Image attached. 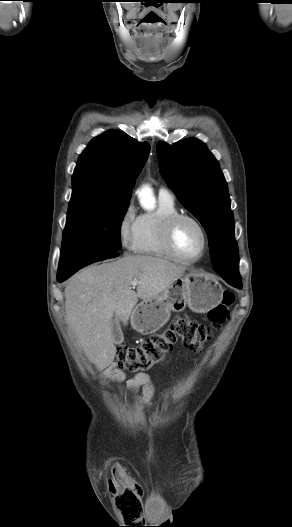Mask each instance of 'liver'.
<instances>
[{"instance_id": "1", "label": "liver", "mask_w": 292, "mask_h": 527, "mask_svg": "<svg viewBox=\"0 0 292 527\" xmlns=\"http://www.w3.org/2000/svg\"><path fill=\"white\" fill-rule=\"evenodd\" d=\"M186 268L168 260L126 255L92 265L71 277L65 287L66 323L89 361L103 370L114 360L112 318L127 325L138 299L149 300L169 289ZM137 280L136 291L131 282Z\"/></svg>"}]
</instances>
